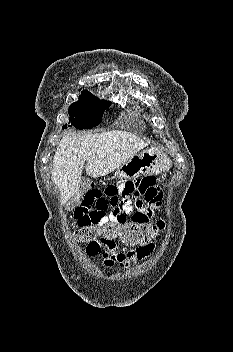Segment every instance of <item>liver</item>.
<instances>
[{
    "instance_id": "1",
    "label": "liver",
    "mask_w": 233,
    "mask_h": 352,
    "mask_svg": "<svg viewBox=\"0 0 233 352\" xmlns=\"http://www.w3.org/2000/svg\"><path fill=\"white\" fill-rule=\"evenodd\" d=\"M136 135L123 130L63 136L54 155L52 181L60 191L61 204L78 193L85 161L88 176H105L147 147Z\"/></svg>"
}]
</instances>
